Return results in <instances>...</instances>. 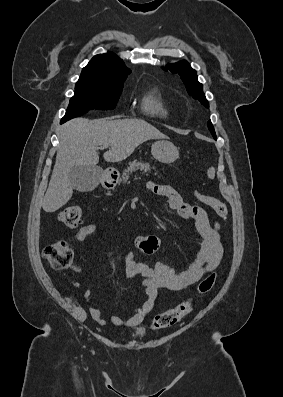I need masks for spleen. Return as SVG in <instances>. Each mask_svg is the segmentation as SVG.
Instances as JSON below:
<instances>
[{"label": "spleen", "mask_w": 283, "mask_h": 397, "mask_svg": "<svg viewBox=\"0 0 283 397\" xmlns=\"http://www.w3.org/2000/svg\"><path fill=\"white\" fill-rule=\"evenodd\" d=\"M207 175L210 179H213L215 177V168L210 167L207 171Z\"/></svg>", "instance_id": "1"}]
</instances>
